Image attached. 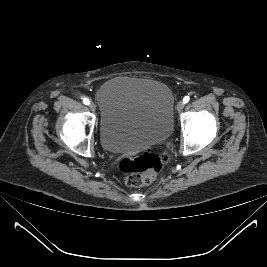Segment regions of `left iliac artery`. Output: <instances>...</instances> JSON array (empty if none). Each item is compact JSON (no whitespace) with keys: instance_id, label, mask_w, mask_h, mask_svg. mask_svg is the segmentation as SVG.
<instances>
[{"instance_id":"1","label":"left iliac artery","mask_w":267,"mask_h":267,"mask_svg":"<svg viewBox=\"0 0 267 267\" xmlns=\"http://www.w3.org/2000/svg\"><path fill=\"white\" fill-rule=\"evenodd\" d=\"M189 99H190L189 96H185L184 99H183V102L187 103L189 101Z\"/></svg>"}]
</instances>
